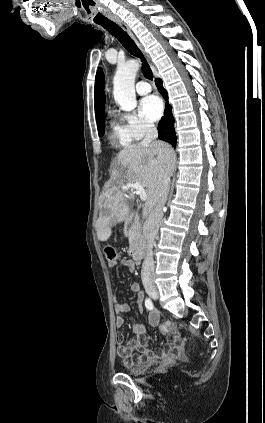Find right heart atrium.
<instances>
[{
    "label": "right heart atrium",
    "mask_w": 265,
    "mask_h": 423,
    "mask_svg": "<svg viewBox=\"0 0 265 423\" xmlns=\"http://www.w3.org/2000/svg\"><path fill=\"white\" fill-rule=\"evenodd\" d=\"M122 127L130 141H137L149 135L155 128L154 124L135 112L120 114Z\"/></svg>",
    "instance_id": "1"
}]
</instances>
